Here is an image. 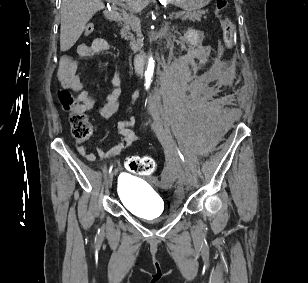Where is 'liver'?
Instances as JSON below:
<instances>
[{
    "instance_id": "1",
    "label": "liver",
    "mask_w": 308,
    "mask_h": 283,
    "mask_svg": "<svg viewBox=\"0 0 308 283\" xmlns=\"http://www.w3.org/2000/svg\"><path fill=\"white\" fill-rule=\"evenodd\" d=\"M135 6V10L143 9L149 0H124ZM104 9L101 0H62L60 50H69L82 35L87 22L95 13Z\"/></svg>"
}]
</instances>
